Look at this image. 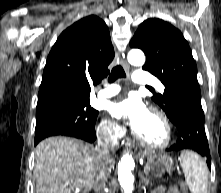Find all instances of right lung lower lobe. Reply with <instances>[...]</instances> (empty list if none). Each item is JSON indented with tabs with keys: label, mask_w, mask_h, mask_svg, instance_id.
Here are the masks:
<instances>
[{
	"label": "right lung lower lobe",
	"mask_w": 221,
	"mask_h": 193,
	"mask_svg": "<svg viewBox=\"0 0 221 193\" xmlns=\"http://www.w3.org/2000/svg\"><path fill=\"white\" fill-rule=\"evenodd\" d=\"M62 135L80 138V139L86 140L88 142H94L96 139V133L79 134V133H74V132H67ZM42 139H44V138H42ZM42 139H35L34 145H37Z\"/></svg>",
	"instance_id": "right-lung-lower-lobe-1"
}]
</instances>
